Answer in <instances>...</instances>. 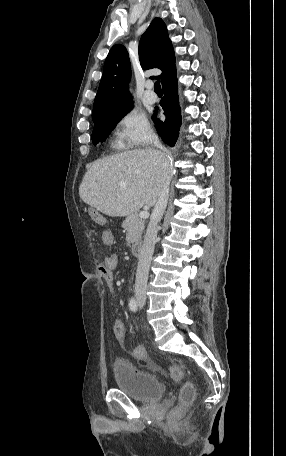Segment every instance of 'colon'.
I'll return each instance as SVG.
<instances>
[{"label": "colon", "mask_w": 286, "mask_h": 456, "mask_svg": "<svg viewBox=\"0 0 286 456\" xmlns=\"http://www.w3.org/2000/svg\"><path fill=\"white\" fill-rule=\"evenodd\" d=\"M131 355L134 359L147 363L154 369L156 368V366L148 358L145 349H143L141 347H135L131 351ZM167 372L175 382H180L182 380V370L179 366L170 365L167 367ZM193 395H194V387L190 384L184 385V387L181 390L182 401L184 403L190 402L191 399L193 398Z\"/></svg>", "instance_id": "5ec220e1"}]
</instances>
